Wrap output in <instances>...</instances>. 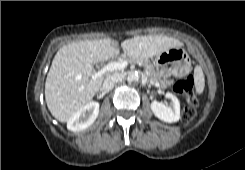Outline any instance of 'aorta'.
Instances as JSON below:
<instances>
[{
	"label": "aorta",
	"instance_id": "obj_1",
	"mask_svg": "<svg viewBox=\"0 0 245 170\" xmlns=\"http://www.w3.org/2000/svg\"><path fill=\"white\" fill-rule=\"evenodd\" d=\"M128 82H137L139 81V75L137 73L131 72L127 76Z\"/></svg>",
	"mask_w": 245,
	"mask_h": 170
}]
</instances>
